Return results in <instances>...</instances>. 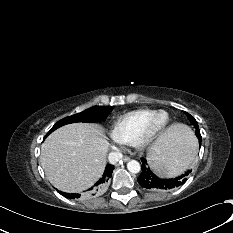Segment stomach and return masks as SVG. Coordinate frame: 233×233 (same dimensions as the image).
<instances>
[{"label":"stomach","mask_w":233,"mask_h":233,"mask_svg":"<svg viewBox=\"0 0 233 233\" xmlns=\"http://www.w3.org/2000/svg\"><path fill=\"white\" fill-rule=\"evenodd\" d=\"M151 166L154 169V171L161 175V176H171V169L164 167L159 159L157 160H152L151 161Z\"/></svg>","instance_id":"1"}]
</instances>
